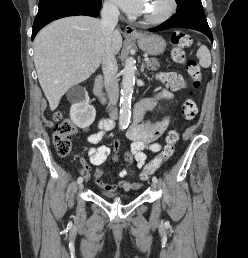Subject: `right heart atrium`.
Masks as SVG:
<instances>
[{
    "mask_svg": "<svg viewBox=\"0 0 248 258\" xmlns=\"http://www.w3.org/2000/svg\"><path fill=\"white\" fill-rule=\"evenodd\" d=\"M105 8L110 13H114L115 14V13L118 12L117 7L115 6V4L111 0H107L105 2Z\"/></svg>",
    "mask_w": 248,
    "mask_h": 258,
    "instance_id": "obj_1",
    "label": "right heart atrium"
}]
</instances>
